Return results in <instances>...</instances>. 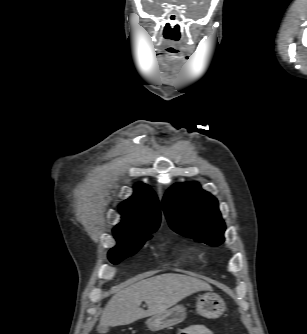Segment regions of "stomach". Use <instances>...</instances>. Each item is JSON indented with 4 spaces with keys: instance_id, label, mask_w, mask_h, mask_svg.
Here are the masks:
<instances>
[{
    "instance_id": "0dacf381",
    "label": "stomach",
    "mask_w": 307,
    "mask_h": 334,
    "mask_svg": "<svg viewBox=\"0 0 307 334\" xmlns=\"http://www.w3.org/2000/svg\"><path fill=\"white\" fill-rule=\"evenodd\" d=\"M197 313L208 319L220 317L226 310L224 300L215 293L200 295L196 304ZM186 318V308L177 305L159 314L153 315L146 321L148 328L158 331L181 323Z\"/></svg>"
}]
</instances>
